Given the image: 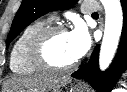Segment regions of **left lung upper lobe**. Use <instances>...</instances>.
Returning <instances> with one entry per match:
<instances>
[{"label": "left lung upper lobe", "instance_id": "1", "mask_svg": "<svg viewBox=\"0 0 127 92\" xmlns=\"http://www.w3.org/2000/svg\"><path fill=\"white\" fill-rule=\"evenodd\" d=\"M78 0H22L6 41V48L22 30L40 16L54 10L71 8Z\"/></svg>", "mask_w": 127, "mask_h": 92}]
</instances>
